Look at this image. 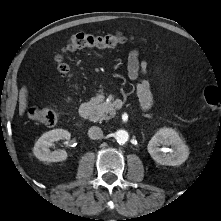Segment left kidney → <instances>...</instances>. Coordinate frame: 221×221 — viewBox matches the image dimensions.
I'll use <instances>...</instances> for the list:
<instances>
[{
    "label": "left kidney",
    "mask_w": 221,
    "mask_h": 221,
    "mask_svg": "<svg viewBox=\"0 0 221 221\" xmlns=\"http://www.w3.org/2000/svg\"><path fill=\"white\" fill-rule=\"evenodd\" d=\"M147 149L151 157L161 165L178 166L189 156L188 146L172 128H161L157 131L149 141Z\"/></svg>",
    "instance_id": "left-kidney-1"
}]
</instances>
